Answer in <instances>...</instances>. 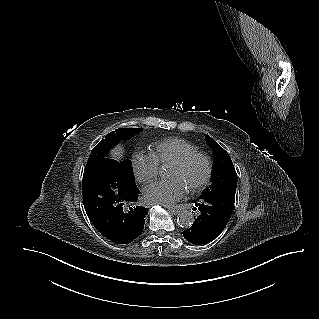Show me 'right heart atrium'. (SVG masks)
Segmentation results:
<instances>
[{"label":"right heart atrium","mask_w":319,"mask_h":319,"mask_svg":"<svg viewBox=\"0 0 319 319\" xmlns=\"http://www.w3.org/2000/svg\"><path fill=\"white\" fill-rule=\"evenodd\" d=\"M132 171L137 182L150 183L159 174V164L151 154L136 153L131 160Z\"/></svg>","instance_id":"obj_1"}]
</instances>
